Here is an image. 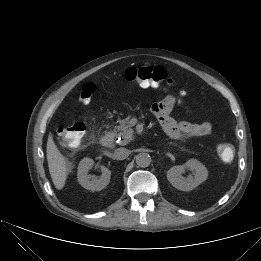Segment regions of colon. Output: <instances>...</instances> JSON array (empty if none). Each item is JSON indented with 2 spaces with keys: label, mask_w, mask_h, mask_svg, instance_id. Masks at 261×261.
<instances>
[{
  "label": "colon",
  "mask_w": 261,
  "mask_h": 261,
  "mask_svg": "<svg viewBox=\"0 0 261 261\" xmlns=\"http://www.w3.org/2000/svg\"><path fill=\"white\" fill-rule=\"evenodd\" d=\"M124 77L127 81L146 86L161 85L166 89H171L173 85L172 79L161 66L130 67L125 71ZM95 90L96 85L93 82L86 83L80 91V101L84 104L90 103ZM180 95L184 96V92L180 91ZM85 133L86 126L83 122H76L70 126L58 129V134L63 142L71 147H78L82 143ZM217 152L219 157L225 162L232 161L235 156V149L230 143L219 144Z\"/></svg>",
  "instance_id": "obj_1"
}]
</instances>
